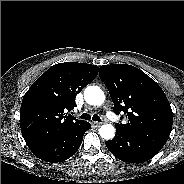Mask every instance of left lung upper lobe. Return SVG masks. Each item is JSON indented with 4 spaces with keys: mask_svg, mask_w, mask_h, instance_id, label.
Segmentation results:
<instances>
[{
    "mask_svg": "<svg viewBox=\"0 0 184 184\" xmlns=\"http://www.w3.org/2000/svg\"><path fill=\"white\" fill-rule=\"evenodd\" d=\"M114 112H124L128 123L116 127L161 150L172 129L173 112L161 87L140 69L127 64L100 67Z\"/></svg>",
    "mask_w": 184,
    "mask_h": 184,
    "instance_id": "obj_1",
    "label": "left lung upper lobe"
}]
</instances>
